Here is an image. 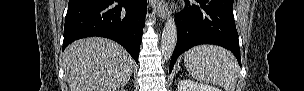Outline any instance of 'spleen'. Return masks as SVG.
Returning <instances> with one entry per match:
<instances>
[{
	"instance_id": "1",
	"label": "spleen",
	"mask_w": 304,
	"mask_h": 91,
	"mask_svg": "<svg viewBox=\"0 0 304 91\" xmlns=\"http://www.w3.org/2000/svg\"><path fill=\"white\" fill-rule=\"evenodd\" d=\"M184 62L196 80L235 91L239 66L230 51L218 46L200 45L185 53Z\"/></svg>"
}]
</instances>
